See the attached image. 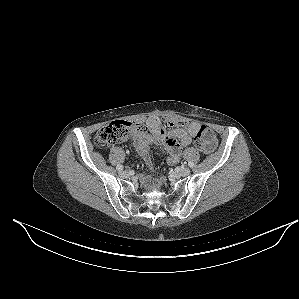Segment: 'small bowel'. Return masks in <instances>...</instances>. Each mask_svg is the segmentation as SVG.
<instances>
[{
    "instance_id": "obj_1",
    "label": "small bowel",
    "mask_w": 299,
    "mask_h": 299,
    "mask_svg": "<svg viewBox=\"0 0 299 299\" xmlns=\"http://www.w3.org/2000/svg\"><path fill=\"white\" fill-rule=\"evenodd\" d=\"M143 127L134 133V147L140 156L143 158L145 164L153 169V160L149 154V147L152 144H158L168 152L167 161L170 164H175L179 161L182 149L192 144L193 138L200 130L201 126L197 122H189L183 126H174L166 130L160 118L151 116L147 118ZM205 141L209 142L213 148L216 143L214 133L207 128ZM148 183V179H145ZM163 179H156L154 186H160Z\"/></svg>"
}]
</instances>
